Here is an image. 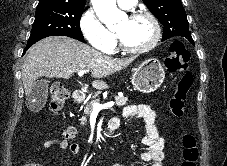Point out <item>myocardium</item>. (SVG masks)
I'll return each instance as SVG.
<instances>
[{
  "instance_id": "f54148a6",
  "label": "myocardium",
  "mask_w": 227,
  "mask_h": 166,
  "mask_svg": "<svg viewBox=\"0 0 227 166\" xmlns=\"http://www.w3.org/2000/svg\"><path fill=\"white\" fill-rule=\"evenodd\" d=\"M142 17L147 18L151 22V24L153 26V30H154L153 37L151 38L150 42L148 44H146L145 46L134 48V47H129V46L125 45L122 42V40L120 39L119 35L116 33V38H117L119 47L127 53L144 54L146 52L151 51L158 44V42L160 40V37H161L160 24H159L157 18L152 13H150L148 11L140 10V11L131 12L127 15V18H129L131 20L137 19V18H142Z\"/></svg>"
}]
</instances>
